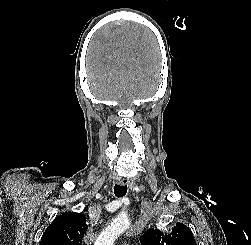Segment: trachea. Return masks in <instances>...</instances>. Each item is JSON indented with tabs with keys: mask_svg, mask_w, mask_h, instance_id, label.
Listing matches in <instances>:
<instances>
[{
	"mask_svg": "<svg viewBox=\"0 0 251 245\" xmlns=\"http://www.w3.org/2000/svg\"><path fill=\"white\" fill-rule=\"evenodd\" d=\"M127 193L126 185H115L114 194L116 197H123Z\"/></svg>",
	"mask_w": 251,
	"mask_h": 245,
	"instance_id": "1",
	"label": "trachea"
}]
</instances>
